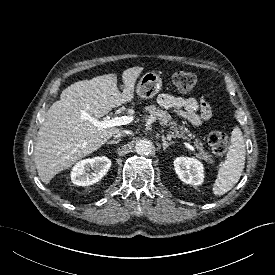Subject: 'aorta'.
Returning <instances> with one entry per match:
<instances>
[{
  "instance_id": "obj_1",
  "label": "aorta",
  "mask_w": 275,
  "mask_h": 275,
  "mask_svg": "<svg viewBox=\"0 0 275 275\" xmlns=\"http://www.w3.org/2000/svg\"><path fill=\"white\" fill-rule=\"evenodd\" d=\"M153 144L147 139H141L135 144V151L139 155H148L152 152Z\"/></svg>"
}]
</instances>
